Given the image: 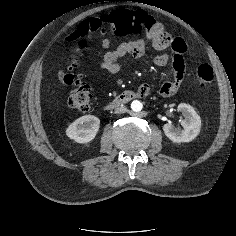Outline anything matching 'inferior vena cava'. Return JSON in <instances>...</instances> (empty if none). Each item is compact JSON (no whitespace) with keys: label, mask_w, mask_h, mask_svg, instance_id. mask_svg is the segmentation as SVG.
Returning a JSON list of instances; mask_svg holds the SVG:
<instances>
[{"label":"inferior vena cava","mask_w":236,"mask_h":236,"mask_svg":"<svg viewBox=\"0 0 236 236\" xmlns=\"http://www.w3.org/2000/svg\"><path fill=\"white\" fill-rule=\"evenodd\" d=\"M127 111H128L127 107H125V106H120V107H118V108H116V109L114 110V113H115V114H121V113H125V112H127Z\"/></svg>","instance_id":"inferior-vena-cava-1"}]
</instances>
